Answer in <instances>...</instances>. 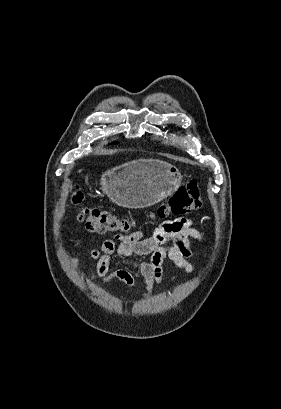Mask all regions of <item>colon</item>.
<instances>
[{
	"label": "colon",
	"instance_id": "5ec220e1",
	"mask_svg": "<svg viewBox=\"0 0 281 409\" xmlns=\"http://www.w3.org/2000/svg\"><path fill=\"white\" fill-rule=\"evenodd\" d=\"M72 205L79 221L87 229L97 234L113 235L128 233L134 229L132 223L115 212L92 208L85 203V194L76 190L72 195ZM202 206L198 185H181L175 194L156 209V218L164 219L169 216H184Z\"/></svg>",
	"mask_w": 281,
	"mask_h": 409
}]
</instances>
